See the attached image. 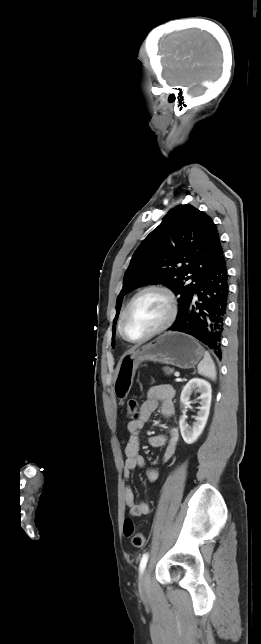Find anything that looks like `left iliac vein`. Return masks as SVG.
I'll return each instance as SVG.
<instances>
[{"mask_svg":"<svg viewBox=\"0 0 261 644\" xmlns=\"http://www.w3.org/2000/svg\"><path fill=\"white\" fill-rule=\"evenodd\" d=\"M139 591L141 594H147L150 591V575L149 569L142 572L139 578Z\"/></svg>","mask_w":261,"mask_h":644,"instance_id":"4c4485c4","label":"left iliac vein"}]
</instances>
